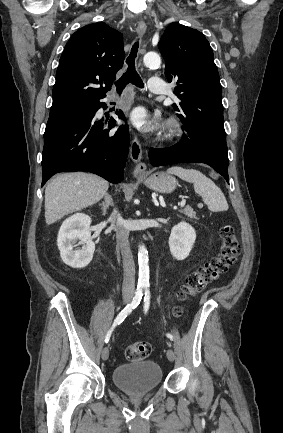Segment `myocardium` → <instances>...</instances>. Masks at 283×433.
I'll return each mask as SVG.
<instances>
[{
    "instance_id": "f54148a6",
    "label": "myocardium",
    "mask_w": 283,
    "mask_h": 433,
    "mask_svg": "<svg viewBox=\"0 0 283 433\" xmlns=\"http://www.w3.org/2000/svg\"><path fill=\"white\" fill-rule=\"evenodd\" d=\"M168 136L171 139L179 138L184 131V123L177 117H170L166 122Z\"/></svg>"
}]
</instances>
